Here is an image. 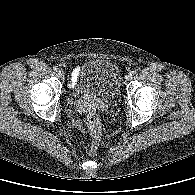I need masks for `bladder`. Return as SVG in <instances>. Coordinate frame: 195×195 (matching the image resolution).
Segmentation results:
<instances>
[{
	"label": "bladder",
	"instance_id": "31cf9c89",
	"mask_svg": "<svg viewBox=\"0 0 195 195\" xmlns=\"http://www.w3.org/2000/svg\"><path fill=\"white\" fill-rule=\"evenodd\" d=\"M119 87L118 67L107 59H91L82 65L74 93L85 98L112 99Z\"/></svg>",
	"mask_w": 195,
	"mask_h": 195
}]
</instances>
